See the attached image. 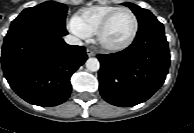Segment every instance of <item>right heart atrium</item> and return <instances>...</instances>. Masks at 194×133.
Listing matches in <instances>:
<instances>
[{"label": "right heart atrium", "mask_w": 194, "mask_h": 133, "mask_svg": "<svg viewBox=\"0 0 194 133\" xmlns=\"http://www.w3.org/2000/svg\"><path fill=\"white\" fill-rule=\"evenodd\" d=\"M70 29L78 36H85L87 34L86 28L78 19H72L70 21Z\"/></svg>", "instance_id": "obj_1"}]
</instances>
